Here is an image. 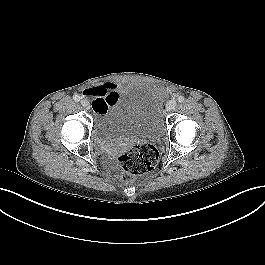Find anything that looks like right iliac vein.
<instances>
[{
  "label": "right iliac vein",
  "mask_w": 265,
  "mask_h": 265,
  "mask_svg": "<svg viewBox=\"0 0 265 265\" xmlns=\"http://www.w3.org/2000/svg\"><path fill=\"white\" fill-rule=\"evenodd\" d=\"M81 105H82L85 109H87V110L90 109V103H89V101L86 100V99L81 100Z\"/></svg>",
  "instance_id": "1"
}]
</instances>
